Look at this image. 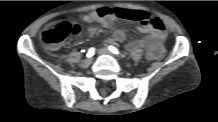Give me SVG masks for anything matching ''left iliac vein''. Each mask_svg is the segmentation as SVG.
Returning <instances> with one entry per match:
<instances>
[{
    "label": "left iliac vein",
    "mask_w": 218,
    "mask_h": 122,
    "mask_svg": "<svg viewBox=\"0 0 218 122\" xmlns=\"http://www.w3.org/2000/svg\"><path fill=\"white\" fill-rule=\"evenodd\" d=\"M98 53L101 54V55H110V56H113V54L110 52V50L105 48V47L100 48L98 50Z\"/></svg>",
    "instance_id": "1"
}]
</instances>
